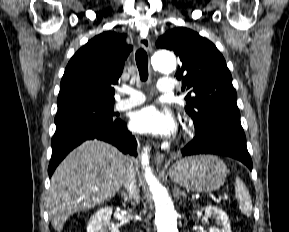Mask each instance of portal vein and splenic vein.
I'll return each mask as SVG.
<instances>
[{"label": "portal vein and splenic vein", "instance_id": "18ae733b", "mask_svg": "<svg viewBox=\"0 0 289 232\" xmlns=\"http://www.w3.org/2000/svg\"><path fill=\"white\" fill-rule=\"evenodd\" d=\"M219 199L222 201L228 200V195L225 194V195L221 196Z\"/></svg>", "mask_w": 289, "mask_h": 232}]
</instances>
